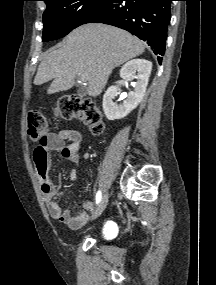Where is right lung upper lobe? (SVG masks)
<instances>
[{"label": "right lung upper lobe", "instance_id": "right-lung-upper-lobe-1", "mask_svg": "<svg viewBox=\"0 0 216 285\" xmlns=\"http://www.w3.org/2000/svg\"><path fill=\"white\" fill-rule=\"evenodd\" d=\"M43 1H45V3H47V2L50 1V0H43Z\"/></svg>", "mask_w": 216, "mask_h": 285}]
</instances>
